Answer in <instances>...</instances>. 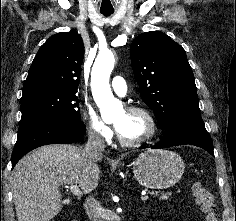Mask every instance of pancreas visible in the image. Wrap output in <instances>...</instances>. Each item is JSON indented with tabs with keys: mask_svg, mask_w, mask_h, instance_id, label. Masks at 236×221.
<instances>
[{
	"mask_svg": "<svg viewBox=\"0 0 236 221\" xmlns=\"http://www.w3.org/2000/svg\"><path fill=\"white\" fill-rule=\"evenodd\" d=\"M153 194H154V193H153ZM171 194H172V193H170V192L161 193L159 199H160V200H168V198H169V196H171ZM154 195H157V196H158V194H154Z\"/></svg>",
	"mask_w": 236,
	"mask_h": 221,
	"instance_id": "cf45deb5",
	"label": "pancreas"
}]
</instances>
